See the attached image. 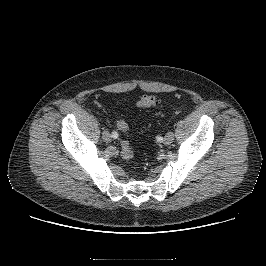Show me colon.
<instances>
[{
  "label": "colon",
  "instance_id": "1",
  "mask_svg": "<svg viewBox=\"0 0 266 266\" xmlns=\"http://www.w3.org/2000/svg\"><path fill=\"white\" fill-rule=\"evenodd\" d=\"M158 104V99L154 95H143L137 101V107L142 110L150 109ZM118 129L127 133L129 130V125L126 121L120 120L117 123ZM121 156L125 160H131L134 157V152L131 148L130 142L127 139L121 141Z\"/></svg>",
  "mask_w": 266,
  "mask_h": 266
}]
</instances>
